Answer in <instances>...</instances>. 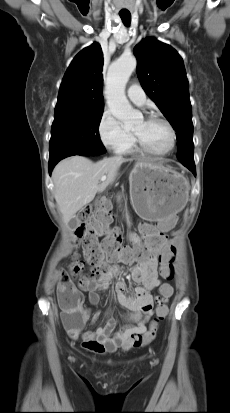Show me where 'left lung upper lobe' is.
<instances>
[{
  "label": "left lung upper lobe",
  "instance_id": "obj_1",
  "mask_svg": "<svg viewBox=\"0 0 230 413\" xmlns=\"http://www.w3.org/2000/svg\"><path fill=\"white\" fill-rule=\"evenodd\" d=\"M134 54L143 89L176 131L178 160L194 163L192 107L183 59L155 38L142 40Z\"/></svg>",
  "mask_w": 230,
  "mask_h": 413
}]
</instances>
